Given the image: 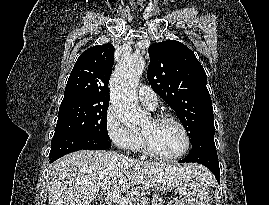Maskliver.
Segmentation results:
<instances>
[{"instance_id":"6515ba94","label":"liver","mask_w":269,"mask_h":205,"mask_svg":"<svg viewBox=\"0 0 269 205\" xmlns=\"http://www.w3.org/2000/svg\"><path fill=\"white\" fill-rule=\"evenodd\" d=\"M190 178L205 185L212 181L210 172L198 164L143 162L114 151L81 150L52 164L48 200L49 205H88L106 182L116 193L140 184L162 191Z\"/></svg>"}]
</instances>
